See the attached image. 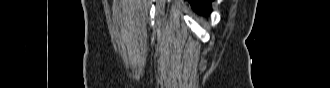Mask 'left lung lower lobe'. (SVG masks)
I'll list each match as a JSON object with an SVG mask.
<instances>
[{
	"instance_id": "0a47b994",
	"label": "left lung lower lobe",
	"mask_w": 330,
	"mask_h": 88,
	"mask_svg": "<svg viewBox=\"0 0 330 88\" xmlns=\"http://www.w3.org/2000/svg\"><path fill=\"white\" fill-rule=\"evenodd\" d=\"M212 0H189L192 8L201 15H208L211 12Z\"/></svg>"
}]
</instances>
